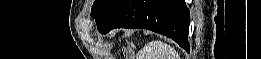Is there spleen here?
<instances>
[{
  "mask_svg": "<svg viewBox=\"0 0 261 59\" xmlns=\"http://www.w3.org/2000/svg\"><path fill=\"white\" fill-rule=\"evenodd\" d=\"M139 59H178L174 47L160 40L148 43L139 53Z\"/></svg>",
  "mask_w": 261,
  "mask_h": 59,
  "instance_id": "spleen-1",
  "label": "spleen"
}]
</instances>
